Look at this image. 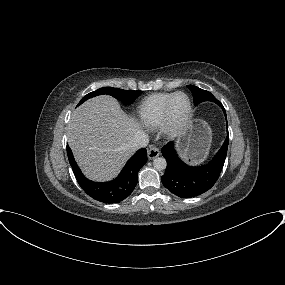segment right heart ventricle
<instances>
[{
  "instance_id": "right-heart-ventricle-1",
  "label": "right heart ventricle",
  "mask_w": 285,
  "mask_h": 285,
  "mask_svg": "<svg viewBox=\"0 0 285 285\" xmlns=\"http://www.w3.org/2000/svg\"><path fill=\"white\" fill-rule=\"evenodd\" d=\"M174 93L153 94L145 98L138 107L141 123L149 128L159 127L164 119L165 108Z\"/></svg>"
}]
</instances>
